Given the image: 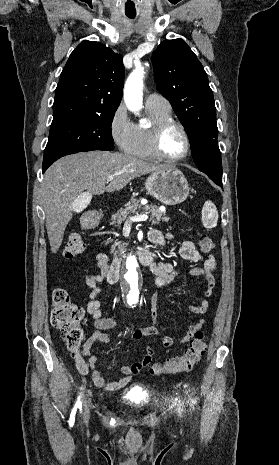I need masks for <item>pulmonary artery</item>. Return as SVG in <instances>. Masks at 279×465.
Returning a JSON list of instances; mask_svg holds the SVG:
<instances>
[{
	"mask_svg": "<svg viewBox=\"0 0 279 465\" xmlns=\"http://www.w3.org/2000/svg\"><path fill=\"white\" fill-rule=\"evenodd\" d=\"M145 104H146V107H154V108H159L163 110L171 109V106L168 100L164 98L163 96L156 94V93L149 94L146 97Z\"/></svg>",
	"mask_w": 279,
	"mask_h": 465,
	"instance_id": "pulmonary-artery-1",
	"label": "pulmonary artery"
}]
</instances>
